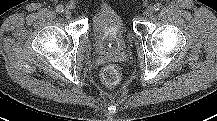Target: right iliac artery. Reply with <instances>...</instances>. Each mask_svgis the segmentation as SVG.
<instances>
[{
    "label": "right iliac artery",
    "mask_w": 217,
    "mask_h": 121,
    "mask_svg": "<svg viewBox=\"0 0 217 121\" xmlns=\"http://www.w3.org/2000/svg\"><path fill=\"white\" fill-rule=\"evenodd\" d=\"M56 11H57L58 13H62V12L64 11V7H63L62 5H58V6L56 7Z\"/></svg>",
    "instance_id": "1"
}]
</instances>
